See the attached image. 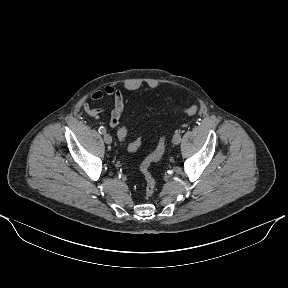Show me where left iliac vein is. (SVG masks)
Instances as JSON below:
<instances>
[{
  "label": "left iliac vein",
  "instance_id": "4c4485c4",
  "mask_svg": "<svg viewBox=\"0 0 288 288\" xmlns=\"http://www.w3.org/2000/svg\"><path fill=\"white\" fill-rule=\"evenodd\" d=\"M172 141L175 145H178L181 142V136L174 134Z\"/></svg>",
  "mask_w": 288,
  "mask_h": 288
}]
</instances>
